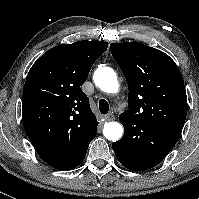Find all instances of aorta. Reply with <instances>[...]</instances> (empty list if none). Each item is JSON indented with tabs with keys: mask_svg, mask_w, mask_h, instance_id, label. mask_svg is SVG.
<instances>
[{
	"mask_svg": "<svg viewBox=\"0 0 199 199\" xmlns=\"http://www.w3.org/2000/svg\"><path fill=\"white\" fill-rule=\"evenodd\" d=\"M94 82L96 86L107 93H116L119 89L116 73L110 67L97 69L94 73ZM103 134L108 140L118 141L123 135V127L118 122L106 123Z\"/></svg>",
	"mask_w": 199,
	"mask_h": 199,
	"instance_id": "762f6f07",
	"label": "aorta"
}]
</instances>
